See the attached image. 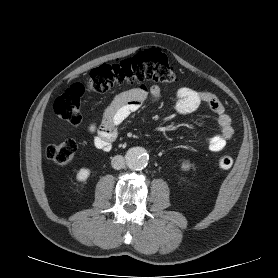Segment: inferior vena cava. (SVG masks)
<instances>
[{"label": "inferior vena cava", "mask_w": 278, "mask_h": 278, "mask_svg": "<svg viewBox=\"0 0 278 278\" xmlns=\"http://www.w3.org/2000/svg\"><path fill=\"white\" fill-rule=\"evenodd\" d=\"M111 165L114 169L119 170L125 167V159L121 155H116L112 158Z\"/></svg>", "instance_id": "602c4592"}]
</instances>
